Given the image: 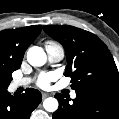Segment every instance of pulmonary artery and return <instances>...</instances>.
I'll return each mask as SVG.
<instances>
[{"label": "pulmonary artery", "instance_id": "1", "mask_svg": "<svg viewBox=\"0 0 119 119\" xmlns=\"http://www.w3.org/2000/svg\"><path fill=\"white\" fill-rule=\"evenodd\" d=\"M45 49L47 52L48 60L51 63L60 62L64 58V49L62 46L57 45L55 43H46ZM31 83V78L25 77L21 79H16L11 83V90H16L20 87L27 86ZM76 93L71 92V98H75Z\"/></svg>", "mask_w": 119, "mask_h": 119}]
</instances>
